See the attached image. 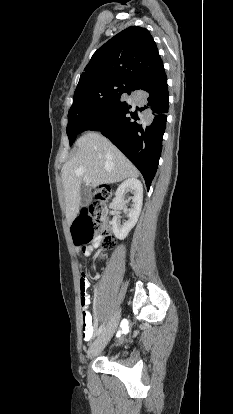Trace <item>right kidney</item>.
Here are the masks:
<instances>
[{"label":"right kidney","mask_w":233,"mask_h":414,"mask_svg":"<svg viewBox=\"0 0 233 414\" xmlns=\"http://www.w3.org/2000/svg\"><path fill=\"white\" fill-rule=\"evenodd\" d=\"M127 190L132 193L133 205L128 211V221L121 223V221L114 216L112 219V230L116 238L123 240L126 238L130 230L135 226L138 221L143 202V187L141 182L136 178H129L122 182L116 190L115 198L113 199V206H117L124 203L123 197Z\"/></svg>","instance_id":"1"}]
</instances>
